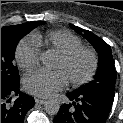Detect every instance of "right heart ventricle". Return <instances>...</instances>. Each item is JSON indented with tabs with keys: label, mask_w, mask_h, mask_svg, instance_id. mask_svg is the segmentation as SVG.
<instances>
[{
	"label": "right heart ventricle",
	"mask_w": 123,
	"mask_h": 123,
	"mask_svg": "<svg viewBox=\"0 0 123 123\" xmlns=\"http://www.w3.org/2000/svg\"><path fill=\"white\" fill-rule=\"evenodd\" d=\"M39 49L53 50L56 53L83 46L82 40L72 32L64 29L35 32L29 37Z\"/></svg>",
	"instance_id": "1"
}]
</instances>
